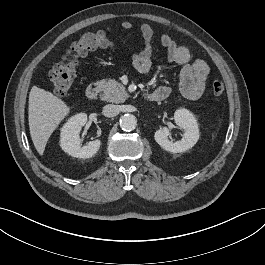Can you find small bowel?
Wrapping results in <instances>:
<instances>
[{
    "label": "small bowel",
    "mask_w": 265,
    "mask_h": 265,
    "mask_svg": "<svg viewBox=\"0 0 265 265\" xmlns=\"http://www.w3.org/2000/svg\"><path fill=\"white\" fill-rule=\"evenodd\" d=\"M122 28L124 30H131L133 24L129 21H124ZM140 33L144 41V48L134 54L133 65L140 73H147L152 66L154 31L150 25L143 24L140 27ZM160 42L167 51V61L181 66V93L191 100L201 97L210 73L207 63L201 59H193L190 49L186 45L175 42L167 33L161 35ZM154 92H161L166 98L170 93V89L167 86H160Z\"/></svg>",
    "instance_id": "c3829d8e"
}]
</instances>
